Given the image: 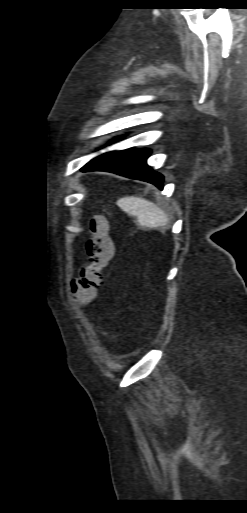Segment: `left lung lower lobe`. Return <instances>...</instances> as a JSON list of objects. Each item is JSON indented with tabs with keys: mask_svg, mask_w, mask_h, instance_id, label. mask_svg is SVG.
Returning a JSON list of instances; mask_svg holds the SVG:
<instances>
[{
	"mask_svg": "<svg viewBox=\"0 0 247 513\" xmlns=\"http://www.w3.org/2000/svg\"><path fill=\"white\" fill-rule=\"evenodd\" d=\"M150 150L113 151L102 154L81 168V171H109L129 178L146 181L163 189V176L147 164Z\"/></svg>",
	"mask_w": 247,
	"mask_h": 513,
	"instance_id": "1",
	"label": "left lung lower lobe"
}]
</instances>
